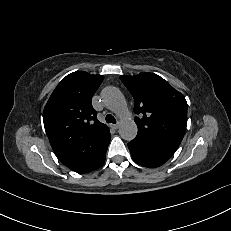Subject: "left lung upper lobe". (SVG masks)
<instances>
[{
	"instance_id": "1",
	"label": "left lung upper lobe",
	"mask_w": 231,
	"mask_h": 231,
	"mask_svg": "<svg viewBox=\"0 0 231 231\" xmlns=\"http://www.w3.org/2000/svg\"><path fill=\"white\" fill-rule=\"evenodd\" d=\"M134 98L138 127L136 138L177 150L187 125V102L168 82L156 74L142 72L120 76Z\"/></svg>"
}]
</instances>
